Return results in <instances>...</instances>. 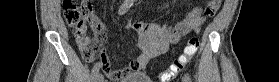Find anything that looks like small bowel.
Returning a JSON list of instances; mask_svg holds the SVG:
<instances>
[{"instance_id":"1","label":"small bowel","mask_w":279,"mask_h":82,"mask_svg":"<svg viewBox=\"0 0 279 82\" xmlns=\"http://www.w3.org/2000/svg\"><path fill=\"white\" fill-rule=\"evenodd\" d=\"M220 5H208L204 10L199 7L192 8L181 22L176 24L167 23L164 25H153L140 21H130L129 26L139 35L138 46L141 50L139 56L127 66L119 69L110 68V60L106 50H102L99 63L107 77L116 81L123 76L143 69L150 60L166 53L171 44L179 42L187 33L198 31L219 9ZM94 38L77 42L81 51L90 48V58L87 62L93 61L95 52L102 47L106 38L105 26L99 21V25L93 27Z\"/></svg>"}]
</instances>
